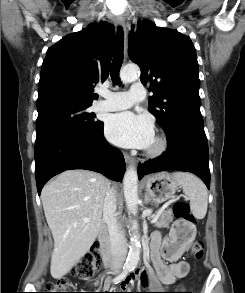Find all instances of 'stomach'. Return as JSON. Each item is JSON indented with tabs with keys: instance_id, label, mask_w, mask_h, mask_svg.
I'll return each instance as SVG.
<instances>
[{
	"instance_id": "0dacf381",
	"label": "stomach",
	"mask_w": 245,
	"mask_h": 293,
	"mask_svg": "<svg viewBox=\"0 0 245 293\" xmlns=\"http://www.w3.org/2000/svg\"><path fill=\"white\" fill-rule=\"evenodd\" d=\"M178 189V185L167 173H157L148 176L145 180L146 194L156 204L163 203L171 199ZM190 236L185 239V244H189L196 234L194 227L189 226Z\"/></svg>"
}]
</instances>
